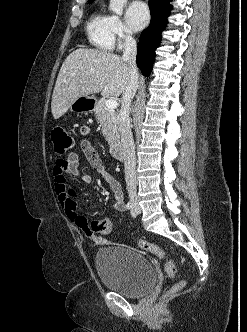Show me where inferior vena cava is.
I'll use <instances>...</instances> for the list:
<instances>
[{"label":"inferior vena cava","mask_w":247,"mask_h":332,"mask_svg":"<svg viewBox=\"0 0 247 332\" xmlns=\"http://www.w3.org/2000/svg\"><path fill=\"white\" fill-rule=\"evenodd\" d=\"M137 44L135 39L129 34L124 43L122 59L130 66V82L126 91L122 95V105L118 116L121 133V143L123 148L125 180L128 195L131 199L137 198L136 188V155L133 135L130 127V106L138 87V73L136 66Z\"/></svg>","instance_id":"inferior-vena-cava-1"}]
</instances>
